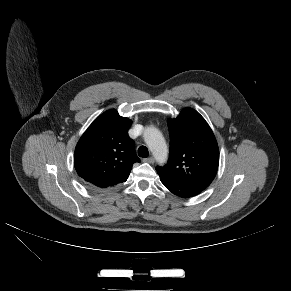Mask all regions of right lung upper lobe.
I'll return each instance as SVG.
<instances>
[{"instance_id": "obj_1", "label": "right lung upper lobe", "mask_w": 291, "mask_h": 291, "mask_svg": "<svg viewBox=\"0 0 291 291\" xmlns=\"http://www.w3.org/2000/svg\"><path fill=\"white\" fill-rule=\"evenodd\" d=\"M132 121L116 110L102 113L78 141L74 165L78 175L96 189L125 182L132 165L140 162L128 136Z\"/></svg>"}]
</instances>
